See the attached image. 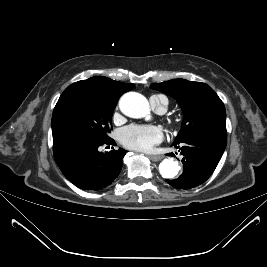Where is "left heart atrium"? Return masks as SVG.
I'll use <instances>...</instances> for the list:
<instances>
[{"label": "left heart atrium", "instance_id": "left-heart-atrium-1", "mask_svg": "<svg viewBox=\"0 0 267 267\" xmlns=\"http://www.w3.org/2000/svg\"><path fill=\"white\" fill-rule=\"evenodd\" d=\"M119 140L126 148L148 152L163 140V132L157 126L132 124L119 131Z\"/></svg>", "mask_w": 267, "mask_h": 267}]
</instances>
